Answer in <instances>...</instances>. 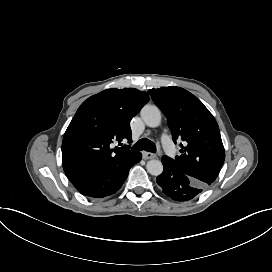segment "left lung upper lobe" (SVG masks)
I'll return each mask as SVG.
<instances>
[{"instance_id":"5c2ea615","label":"left lung upper lobe","mask_w":272,"mask_h":272,"mask_svg":"<svg viewBox=\"0 0 272 272\" xmlns=\"http://www.w3.org/2000/svg\"><path fill=\"white\" fill-rule=\"evenodd\" d=\"M149 93L165 114L174 143H180L182 153L169 160L181 172L201 184L211 185L225 159L218 124L193 94L180 87L151 89Z\"/></svg>"}]
</instances>
